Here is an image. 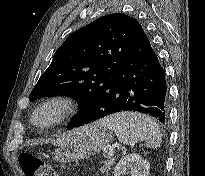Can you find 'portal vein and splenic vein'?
<instances>
[{
    "label": "portal vein and splenic vein",
    "instance_id": "1",
    "mask_svg": "<svg viewBox=\"0 0 205 176\" xmlns=\"http://www.w3.org/2000/svg\"><path fill=\"white\" fill-rule=\"evenodd\" d=\"M108 155H109V156H113V155H114V148L110 149Z\"/></svg>",
    "mask_w": 205,
    "mask_h": 176
}]
</instances>
